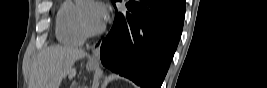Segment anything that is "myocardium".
<instances>
[{
    "instance_id": "f54148a6",
    "label": "myocardium",
    "mask_w": 267,
    "mask_h": 88,
    "mask_svg": "<svg viewBox=\"0 0 267 88\" xmlns=\"http://www.w3.org/2000/svg\"><path fill=\"white\" fill-rule=\"evenodd\" d=\"M78 21H79V25L81 27V30L82 32L84 33V35H87V36H93V35H97V34H100L104 28L103 27H98V28H90L84 18H83V15H82V11H81V6H78Z\"/></svg>"
}]
</instances>
